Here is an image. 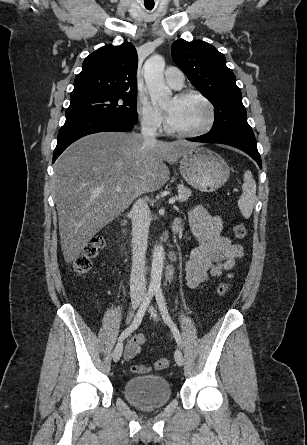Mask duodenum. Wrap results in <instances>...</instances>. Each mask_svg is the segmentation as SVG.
Instances as JSON below:
<instances>
[{
	"label": "duodenum",
	"mask_w": 307,
	"mask_h": 445,
	"mask_svg": "<svg viewBox=\"0 0 307 445\" xmlns=\"http://www.w3.org/2000/svg\"><path fill=\"white\" fill-rule=\"evenodd\" d=\"M121 230H122V233H126V231H127V222L125 219H123L121 221Z\"/></svg>",
	"instance_id": "410a0bca"
}]
</instances>
